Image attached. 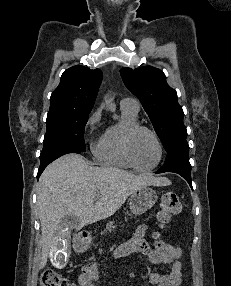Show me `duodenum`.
<instances>
[{
  "instance_id": "410a0bca",
  "label": "duodenum",
  "mask_w": 231,
  "mask_h": 286,
  "mask_svg": "<svg viewBox=\"0 0 231 286\" xmlns=\"http://www.w3.org/2000/svg\"><path fill=\"white\" fill-rule=\"evenodd\" d=\"M90 242V236L89 235H84L77 243V246L79 248H84L87 246Z\"/></svg>"
}]
</instances>
